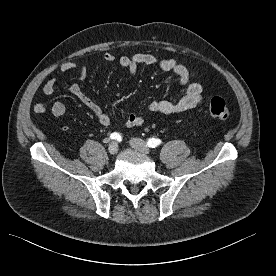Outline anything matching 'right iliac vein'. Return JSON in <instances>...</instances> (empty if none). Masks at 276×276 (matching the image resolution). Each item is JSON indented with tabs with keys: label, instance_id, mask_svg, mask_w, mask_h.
<instances>
[{
	"label": "right iliac vein",
	"instance_id": "63e3f726",
	"mask_svg": "<svg viewBox=\"0 0 276 276\" xmlns=\"http://www.w3.org/2000/svg\"><path fill=\"white\" fill-rule=\"evenodd\" d=\"M119 146L117 142H112L109 144L108 151L110 154H116L118 152Z\"/></svg>",
	"mask_w": 276,
	"mask_h": 276
}]
</instances>
